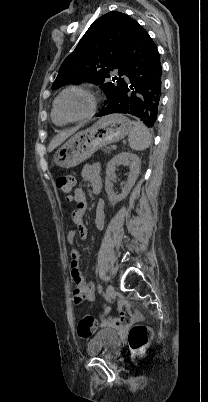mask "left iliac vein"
Segmentation results:
<instances>
[{"label":"left iliac vein","mask_w":208,"mask_h":402,"mask_svg":"<svg viewBox=\"0 0 208 402\" xmlns=\"http://www.w3.org/2000/svg\"><path fill=\"white\" fill-rule=\"evenodd\" d=\"M116 296V292L115 289L112 285H108L107 289H106V298L108 300H112L113 298H115Z\"/></svg>","instance_id":"left-iliac-vein-1"}]
</instances>
